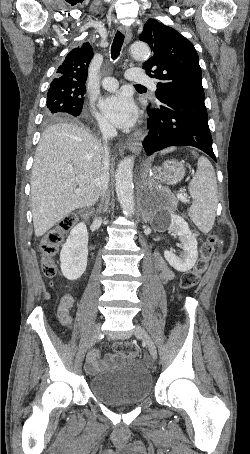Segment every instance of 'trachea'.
<instances>
[{"instance_id": "1", "label": "trachea", "mask_w": 250, "mask_h": 454, "mask_svg": "<svg viewBox=\"0 0 250 454\" xmlns=\"http://www.w3.org/2000/svg\"><path fill=\"white\" fill-rule=\"evenodd\" d=\"M123 42L124 35L120 31H117L111 46V56L113 60H115L119 56ZM136 87L145 88L141 85H136Z\"/></svg>"}]
</instances>
